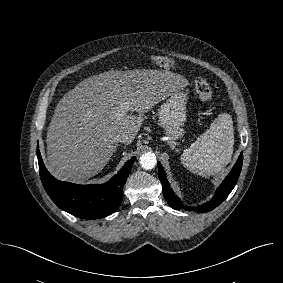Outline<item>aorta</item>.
Segmentation results:
<instances>
[{"label": "aorta", "instance_id": "obj_1", "mask_svg": "<svg viewBox=\"0 0 283 283\" xmlns=\"http://www.w3.org/2000/svg\"><path fill=\"white\" fill-rule=\"evenodd\" d=\"M156 156L153 153H145L140 156V165L143 169L151 170L156 165Z\"/></svg>", "mask_w": 283, "mask_h": 283}]
</instances>
